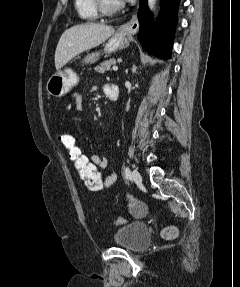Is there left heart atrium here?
Segmentation results:
<instances>
[{
	"label": "left heart atrium",
	"mask_w": 240,
	"mask_h": 287,
	"mask_svg": "<svg viewBox=\"0 0 240 287\" xmlns=\"http://www.w3.org/2000/svg\"><path fill=\"white\" fill-rule=\"evenodd\" d=\"M122 1H129V0H119V2H122Z\"/></svg>",
	"instance_id": "left-heart-atrium-1"
}]
</instances>
